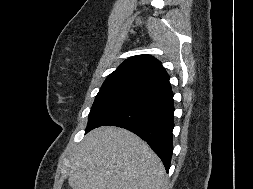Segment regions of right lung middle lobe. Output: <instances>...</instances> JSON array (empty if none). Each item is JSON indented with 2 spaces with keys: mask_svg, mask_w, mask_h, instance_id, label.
I'll list each match as a JSON object with an SVG mask.
<instances>
[{
  "mask_svg": "<svg viewBox=\"0 0 253 189\" xmlns=\"http://www.w3.org/2000/svg\"><path fill=\"white\" fill-rule=\"evenodd\" d=\"M148 92L128 87L101 88L88 115L89 129L114 111L131 104Z\"/></svg>",
  "mask_w": 253,
  "mask_h": 189,
  "instance_id": "dd1d6c3e",
  "label": "right lung middle lobe"
}]
</instances>
